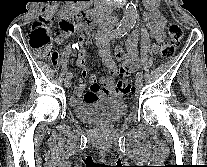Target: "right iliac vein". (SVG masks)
<instances>
[{
    "mask_svg": "<svg viewBox=\"0 0 207 167\" xmlns=\"http://www.w3.org/2000/svg\"><path fill=\"white\" fill-rule=\"evenodd\" d=\"M64 85L66 88H69L71 86V78H67Z\"/></svg>",
    "mask_w": 207,
    "mask_h": 167,
    "instance_id": "right-iliac-vein-1",
    "label": "right iliac vein"
}]
</instances>
